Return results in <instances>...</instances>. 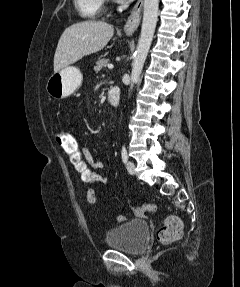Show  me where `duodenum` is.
Masks as SVG:
<instances>
[{"label":"duodenum","instance_id":"duodenum-1","mask_svg":"<svg viewBox=\"0 0 240 287\" xmlns=\"http://www.w3.org/2000/svg\"><path fill=\"white\" fill-rule=\"evenodd\" d=\"M108 101L117 106L120 102V89L117 86L111 87L107 93Z\"/></svg>","mask_w":240,"mask_h":287}]
</instances>
